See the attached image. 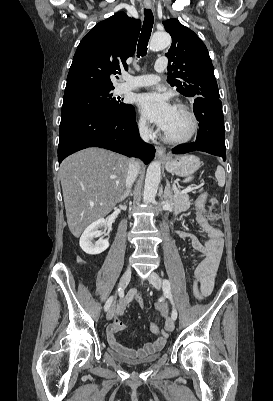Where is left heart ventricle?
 Instances as JSON below:
<instances>
[{
  "instance_id": "1",
  "label": "left heart ventricle",
  "mask_w": 273,
  "mask_h": 401,
  "mask_svg": "<svg viewBox=\"0 0 273 401\" xmlns=\"http://www.w3.org/2000/svg\"><path fill=\"white\" fill-rule=\"evenodd\" d=\"M192 129L190 118L177 108L173 113L164 131L172 137H185Z\"/></svg>"
}]
</instances>
